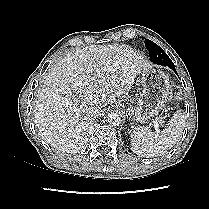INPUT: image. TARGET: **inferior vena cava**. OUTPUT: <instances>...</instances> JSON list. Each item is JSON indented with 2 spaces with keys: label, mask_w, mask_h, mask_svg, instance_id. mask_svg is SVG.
Here are the masks:
<instances>
[{
  "label": "inferior vena cava",
  "mask_w": 209,
  "mask_h": 209,
  "mask_svg": "<svg viewBox=\"0 0 209 209\" xmlns=\"http://www.w3.org/2000/svg\"><path fill=\"white\" fill-rule=\"evenodd\" d=\"M94 117L95 118H98L99 117V114L98 113H94Z\"/></svg>",
  "instance_id": "602c4592"
}]
</instances>
